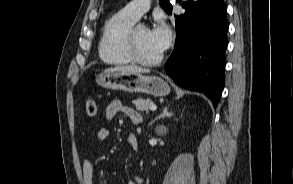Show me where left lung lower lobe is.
Returning a JSON list of instances; mask_svg holds the SVG:
<instances>
[{"mask_svg":"<svg viewBox=\"0 0 293 184\" xmlns=\"http://www.w3.org/2000/svg\"><path fill=\"white\" fill-rule=\"evenodd\" d=\"M182 7L166 72L179 85L205 93L216 107L224 87L227 7L224 0H189Z\"/></svg>","mask_w":293,"mask_h":184,"instance_id":"0a47b994","label":"left lung lower lobe"}]
</instances>
